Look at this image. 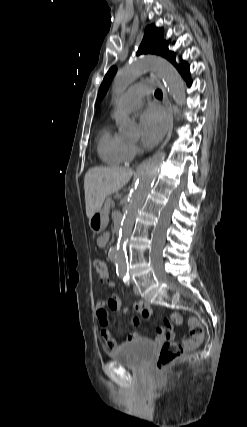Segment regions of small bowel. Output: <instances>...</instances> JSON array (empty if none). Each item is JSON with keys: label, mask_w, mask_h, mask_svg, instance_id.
Instances as JSON below:
<instances>
[{"label": "small bowel", "mask_w": 247, "mask_h": 427, "mask_svg": "<svg viewBox=\"0 0 247 427\" xmlns=\"http://www.w3.org/2000/svg\"><path fill=\"white\" fill-rule=\"evenodd\" d=\"M109 240V234L104 233L98 238V245L100 247H104ZM108 286L110 288H115L116 285L114 282H109ZM134 309L137 313H139L143 318H149L152 310L148 302L146 301H138L134 304ZM121 312L126 313L128 311L127 308H123L121 299L117 295H111L107 299L100 300L97 305V318L101 325V334L105 341L106 347L115 351L126 344L135 341L138 339L139 335L136 332H130L126 336V340L122 344H117L115 338L113 337L111 331L109 330V319L110 312ZM183 321L182 315L178 312H173L170 316V320L164 318L162 320V324L158 325L155 329V340L157 342H164L167 340H172L175 336L173 325H180ZM140 324L139 317H133L131 319L132 326H138Z\"/></svg>", "instance_id": "c3829d8e"}]
</instances>
